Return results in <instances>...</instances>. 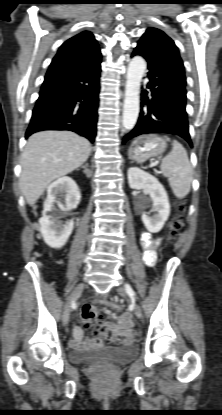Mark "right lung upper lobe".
I'll return each mask as SVG.
<instances>
[{"label":"right lung upper lobe","mask_w":222,"mask_h":415,"mask_svg":"<svg viewBox=\"0 0 222 415\" xmlns=\"http://www.w3.org/2000/svg\"><path fill=\"white\" fill-rule=\"evenodd\" d=\"M101 57L97 41L88 31L79 33L62 44L52 61L86 62Z\"/></svg>","instance_id":"right-lung-upper-lobe-1"}]
</instances>
